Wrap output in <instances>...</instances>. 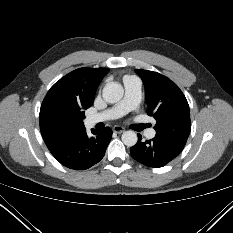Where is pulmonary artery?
Segmentation results:
<instances>
[{
	"label": "pulmonary artery",
	"mask_w": 233,
	"mask_h": 233,
	"mask_svg": "<svg viewBox=\"0 0 233 233\" xmlns=\"http://www.w3.org/2000/svg\"><path fill=\"white\" fill-rule=\"evenodd\" d=\"M123 82L125 88L123 99L111 109L89 116L87 118L88 125H95L99 122L116 119L136 108L141 99V80L136 76H127ZM155 134L154 129H149L146 132L148 138H153Z\"/></svg>",
	"instance_id": "pulmonary-artery-1"
}]
</instances>
